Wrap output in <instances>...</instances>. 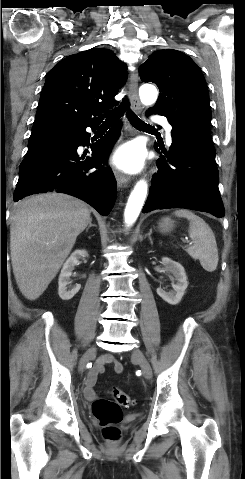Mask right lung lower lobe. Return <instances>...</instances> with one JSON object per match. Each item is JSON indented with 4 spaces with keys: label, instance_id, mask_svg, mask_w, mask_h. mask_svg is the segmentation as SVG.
I'll list each match as a JSON object with an SVG mask.
<instances>
[{
    "label": "right lung lower lobe",
    "instance_id": "98d812e1",
    "mask_svg": "<svg viewBox=\"0 0 245 479\" xmlns=\"http://www.w3.org/2000/svg\"><path fill=\"white\" fill-rule=\"evenodd\" d=\"M102 120L94 118L83 124L56 128L31 140L20 165L14 201L55 191L80 198L100 214L108 215L116 198L117 183L112 170L101 168L100 164L107 163L113 143L120 135L121 123L117 122L91 145V157L77 152L80 145L89 144L86 128L95 131ZM94 167L99 171H90Z\"/></svg>",
    "mask_w": 245,
    "mask_h": 479
}]
</instances>
